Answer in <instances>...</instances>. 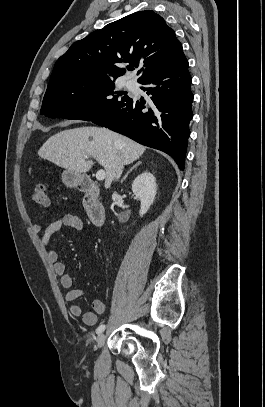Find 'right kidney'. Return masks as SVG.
<instances>
[{
	"instance_id": "obj_1",
	"label": "right kidney",
	"mask_w": 265,
	"mask_h": 407,
	"mask_svg": "<svg viewBox=\"0 0 265 407\" xmlns=\"http://www.w3.org/2000/svg\"><path fill=\"white\" fill-rule=\"evenodd\" d=\"M132 191L141 202L139 214L143 216L153 204L157 191L153 174L146 171L138 175L132 183Z\"/></svg>"
}]
</instances>
